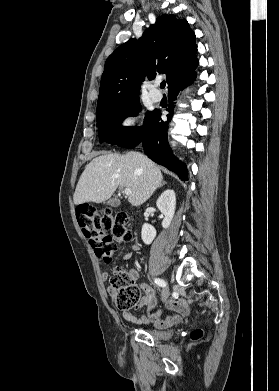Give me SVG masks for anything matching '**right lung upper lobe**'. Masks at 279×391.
I'll use <instances>...</instances> for the list:
<instances>
[{"mask_svg":"<svg viewBox=\"0 0 279 391\" xmlns=\"http://www.w3.org/2000/svg\"><path fill=\"white\" fill-rule=\"evenodd\" d=\"M195 33L184 19L162 15L143 36L119 46L106 60L101 78L97 113L139 100L141 82L166 75L168 91L193 73Z\"/></svg>","mask_w":279,"mask_h":391,"instance_id":"right-lung-upper-lobe-1","label":"right lung upper lobe"}]
</instances>
